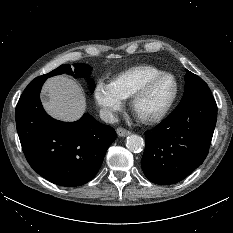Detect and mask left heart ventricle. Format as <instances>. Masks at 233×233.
I'll use <instances>...</instances> for the list:
<instances>
[{
  "mask_svg": "<svg viewBox=\"0 0 233 233\" xmlns=\"http://www.w3.org/2000/svg\"><path fill=\"white\" fill-rule=\"evenodd\" d=\"M173 91L174 82L171 78H163L159 80L139 101L137 105L138 112L146 116L160 112L170 100Z\"/></svg>",
  "mask_w": 233,
  "mask_h": 233,
  "instance_id": "b2bd125f",
  "label": "left heart ventricle"
}]
</instances>
